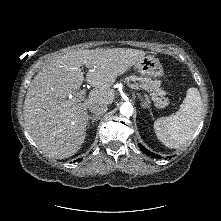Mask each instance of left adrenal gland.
I'll return each mask as SVG.
<instances>
[{
  "mask_svg": "<svg viewBox=\"0 0 221 221\" xmlns=\"http://www.w3.org/2000/svg\"><path fill=\"white\" fill-rule=\"evenodd\" d=\"M138 97H139L140 100H141V106L144 107V108L148 107V104H147V102L145 101V99H143V97H142L141 95H138Z\"/></svg>",
  "mask_w": 221,
  "mask_h": 221,
  "instance_id": "left-adrenal-gland-1",
  "label": "left adrenal gland"
}]
</instances>
